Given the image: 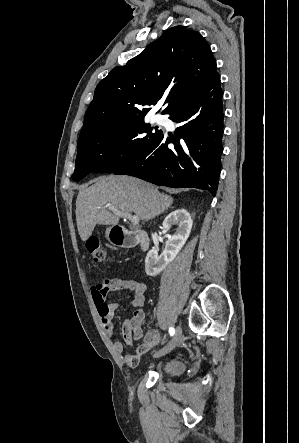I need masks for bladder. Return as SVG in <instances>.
<instances>
[{
	"label": "bladder",
	"mask_w": 299,
	"mask_h": 443,
	"mask_svg": "<svg viewBox=\"0 0 299 443\" xmlns=\"http://www.w3.org/2000/svg\"><path fill=\"white\" fill-rule=\"evenodd\" d=\"M185 371V364L181 359H168L165 360L160 369V373L164 376L176 377L181 375Z\"/></svg>",
	"instance_id": "1"
}]
</instances>
